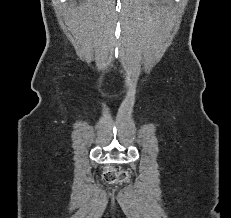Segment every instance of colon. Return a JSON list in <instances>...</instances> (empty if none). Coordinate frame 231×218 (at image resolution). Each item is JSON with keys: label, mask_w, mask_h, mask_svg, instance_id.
Here are the masks:
<instances>
[{"label": "colon", "mask_w": 231, "mask_h": 218, "mask_svg": "<svg viewBox=\"0 0 231 218\" xmlns=\"http://www.w3.org/2000/svg\"><path fill=\"white\" fill-rule=\"evenodd\" d=\"M102 176L104 181L112 184L126 181L129 177V174L124 170L118 171L112 167H106Z\"/></svg>", "instance_id": "1"}]
</instances>
